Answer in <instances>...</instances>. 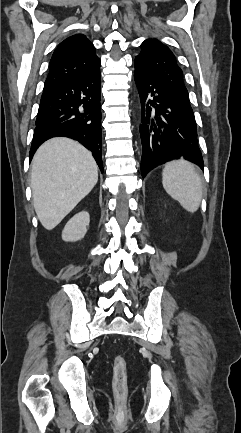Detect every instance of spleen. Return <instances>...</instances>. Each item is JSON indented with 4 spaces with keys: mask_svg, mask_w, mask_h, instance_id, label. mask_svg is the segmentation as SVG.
<instances>
[{
    "mask_svg": "<svg viewBox=\"0 0 241 433\" xmlns=\"http://www.w3.org/2000/svg\"><path fill=\"white\" fill-rule=\"evenodd\" d=\"M165 191L188 212L198 210L202 199V182L192 163L179 159L167 163L162 173Z\"/></svg>",
    "mask_w": 241,
    "mask_h": 433,
    "instance_id": "obj_1",
    "label": "spleen"
}]
</instances>
